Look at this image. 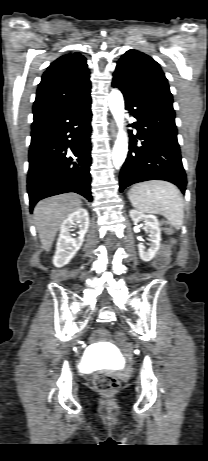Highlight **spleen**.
<instances>
[{"label":"spleen","mask_w":208,"mask_h":461,"mask_svg":"<svg viewBox=\"0 0 208 461\" xmlns=\"http://www.w3.org/2000/svg\"><path fill=\"white\" fill-rule=\"evenodd\" d=\"M134 208L142 213L163 215L180 229L184 219V202L180 190L172 183L154 180L135 184L128 192Z\"/></svg>","instance_id":"1"}]
</instances>
